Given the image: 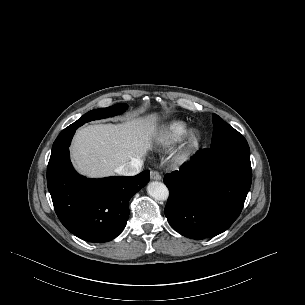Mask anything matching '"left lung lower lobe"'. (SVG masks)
I'll return each mask as SVG.
<instances>
[{"label": "left lung lower lobe", "instance_id": "1", "mask_svg": "<svg viewBox=\"0 0 305 305\" xmlns=\"http://www.w3.org/2000/svg\"><path fill=\"white\" fill-rule=\"evenodd\" d=\"M251 179L250 150H199L164 177L170 191L164 210L168 222L193 239L224 232L239 216Z\"/></svg>", "mask_w": 305, "mask_h": 305}]
</instances>
